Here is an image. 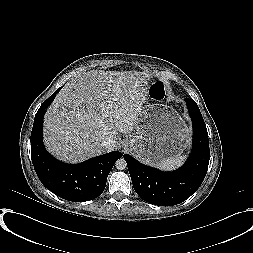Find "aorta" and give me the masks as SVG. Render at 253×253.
<instances>
[{
    "label": "aorta",
    "instance_id": "1",
    "mask_svg": "<svg viewBox=\"0 0 253 253\" xmlns=\"http://www.w3.org/2000/svg\"><path fill=\"white\" fill-rule=\"evenodd\" d=\"M115 166L118 170H124L127 167V162L124 158H120L116 161Z\"/></svg>",
    "mask_w": 253,
    "mask_h": 253
}]
</instances>
